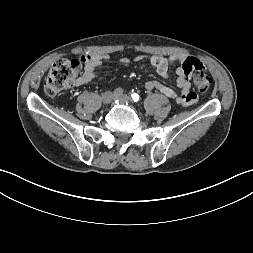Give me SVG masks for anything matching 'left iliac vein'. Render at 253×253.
I'll use <instances>...</instances> for the list:
<instances>
[{
	"instance_id": "obj_1",
	"label": "left iliac vein",
	"mask_w": 253,
	"mask_h": 253,
	"mask_svg": "<svg viewBox=\"0 0 253 253\" xmlns=\"http://www.w3.org/2000/svg\"><path fill=\"white\" fill-rule=\"evenodd\" d=\"M114 99L119 100L123 104H129L131 102L130 97L125 94L114 96Z\"/></svg>"
}]
</instances>
